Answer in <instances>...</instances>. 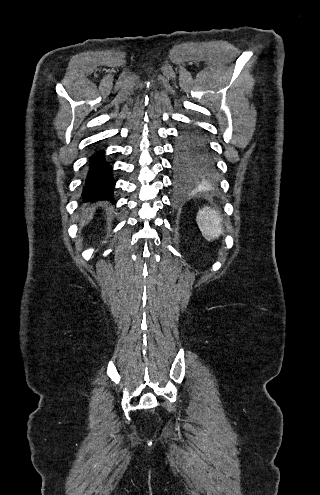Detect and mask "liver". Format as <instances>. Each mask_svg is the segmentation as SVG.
Here are the masks:
<instances>
[{
	"instance_id": "1",
	"label": "liver",
	"mask_w": 320,
	"mask_h": 495,
	"mask_svg": "<svg viewBox=\"0 0 320 495\" xmlns=\"http://www.w3.org/2000/svg\"><path fill=\"white\" fill-rule=\"evenodd\" d=\"M94 211H95L94 207L90 208L89 211L88 210L86 211V215L84 216V220L81 221V223H80L81 227H83L84 225L89 223V221L93 218ZM88 212H90V213H88Z\"/></svg>"
}]
</instances>
